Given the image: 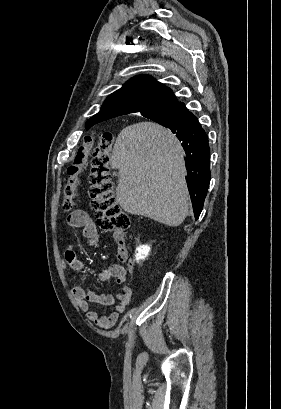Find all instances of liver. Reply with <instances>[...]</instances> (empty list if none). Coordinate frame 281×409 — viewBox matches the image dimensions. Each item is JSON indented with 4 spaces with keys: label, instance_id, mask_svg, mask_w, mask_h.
Returning <instances> with one entry per match:
<instances>
[{
    "label": "liver",
    "instance_id": "liver-1",
    "mask_svg": "<svg viewBox=\"0 0 281 409\" xmlns=\"http://www.w3.org/2000/svg\"><path fill=\"white\" fill-rule=\"evenodd\" d=\"M119 170L117 200L131 215H144L169 227L187 217L189 192L182 146L156 122H137L118 134L110 158Z\"/></svg>",
    "mask_w": 281,
    "mask_h": 409
}]
</instances>
